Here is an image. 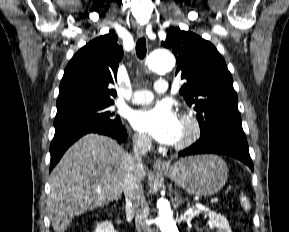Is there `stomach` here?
Returning a JSON list of instances; mask_svg holds the SVG:
<instances>
[{"label":"stomach","mask_w":289,"mask_h":232,"mask_svg":"<svg viewBox=\"0 0 289 232\" xmlns=\"http://www.w3.org/2000/svg\"><path fill=\"white\" fill-rule=\"evenodd\" d=\"M160 175L168 177L189 193L210 196L225 185L228 167L216 155L190 156L161 171Z\"/></svg>","instance_id":"stomach-1"}]
</instances>
